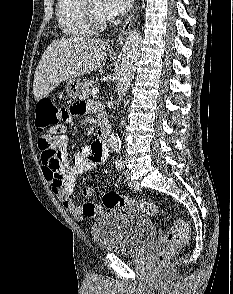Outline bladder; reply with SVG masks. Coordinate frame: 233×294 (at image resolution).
<instances>
[{
  "instance_id": "1",
  "label": "bladder",
  "mask_w": 233,
  "mask_h": 294,
  "mask_svg": "<svg viewBox=\"0 0 233 294\" xmlns=\"http://www.w3.org/2000/svg\"><path fill=\"white\" fill-rule=\"evenodd\" d=\"M91 233L97 247L105 252L137 255L153 241L156 227L141 211L116 207L94 221Z\"/></svg>"
}]
</instances>
